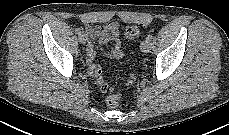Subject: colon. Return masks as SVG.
<instances>
[{
	"mask_svg": "<svg viewBox=\"0 0 229 135\" xmlns=\"http://www.w3.org/2000/svg\"><path fill=\"white\" fill-rule=\"evenodd\" d=\"M139 34V29L136 26L127 27L124 31V37L128 40L134 39ZM89 59L93 60L94 55L90 54ZM89 73L95 79L103 92L113 94L116 90L115 87L109 84L103 76L102 68L99 64L91 62L89 66ZM133 77H131L132 79ZM110 107L114 108L118 105V99L115 96H110L107 100Z\"/></svg>",
	"mask_w": 229,
	"mask_h": 135,
	"instance_id": "colon-1",
	"label": "colon"
}]
</instances>
